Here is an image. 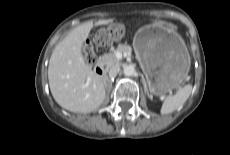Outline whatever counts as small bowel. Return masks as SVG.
Listing matches in <instances>:
<instances>
[{"instance_id": "1", "label": "small bowel", "mask_w": 230, "mask_h": 155, "mask_svg": "<svg viewBox=\"0 0 230 155\" xmlns=\"http://www.w3.org/2000/svg\"><path fill=\"white\" fill-rule=\"evenodd\" d=\"M145 23L151 27L164 28L170 35H177L179 28L167 19H158L153 16H147Z\"/></svg>"}]
</instances>
